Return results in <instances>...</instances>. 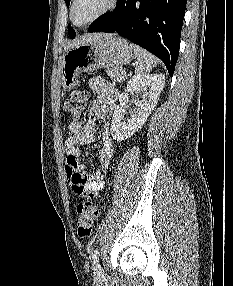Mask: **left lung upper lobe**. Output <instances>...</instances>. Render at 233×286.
<instances>
[{
	"label": "left lung upper lobe",
	"instance_id": "1",
	"mask_svg": "<svg viewBox=\"0 0 233 286\" xmlns=\"http://www.w3.org/2000/svg\"><path fill=\"white\" fill-rule=\"evenodd\" d=\"M65 3L67 5V7H69V4H70V0H65ZM68 34H69V37L71 39H73L76 35L74 29L71 27V25H68Z\"/></svg>",
	"mask_w": 233,
	"mask_h": 286
}]
</instances>
